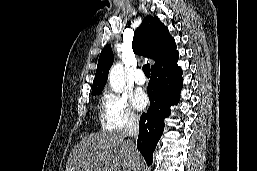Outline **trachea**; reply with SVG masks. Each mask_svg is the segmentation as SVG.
Here are the masks:
<instances>
[{
  "instance_id": "3493384b",
  "label": "trachea",
  "mask_w": 257,
  "mask_h": 171,
  "mask_svg": "<svg viewBox=\"0 0 257 171\" xmlns=\"http://www.w3.org/2000/svg\"><path fill=\"white\" fill-rule=\"evenodd\" d=\"M142 69H143L145 76L150 77V65L147 63V64L143 65Z\"/></svg>"
}]
</instances>
